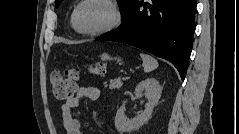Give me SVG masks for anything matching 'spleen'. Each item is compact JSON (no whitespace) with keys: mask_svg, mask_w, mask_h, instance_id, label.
Here are the masks:
<instances>
[{"mask_svg":"<svg viewBox=\"0 0 239 134\" xmlns=\"http://www.w3.org/2000/svg\"><path fill=\"white\" fill-rule=\"evenodd\" d=\"M140 57L143 61L144 72L148 73L155 70L158 67V62L155 58L148 54L141 53Z\"/></svg>","mask_w":239,"mask_h":134,"instance_id":"3e777b00","label":"spleen"}]
</instances>
